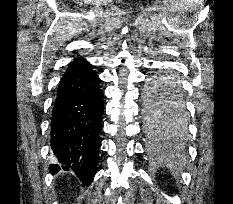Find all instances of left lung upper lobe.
I'll use <instances>...</instances> for the list:
<instances>
[{
	"instance_id": "1",
	"label": "left lung upper lobe",
	"mask_w": 233,
	"mask_h": 204,
	"mask_svg": "<svg viewBox=\"0 0 233 204\" xmlns=\"http://www.w3.org/2000/svg\"><path fill=\"white\" fill-rule=\"evenodd\" d=\"M152 83L155 88L145 93L144 114L148 126L156 129L161 125H171L184 129L187 114L177 82L157 77Z\"/></svg>"
}]
</instances>
